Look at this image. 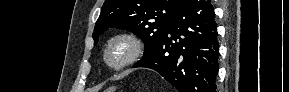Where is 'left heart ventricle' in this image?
Here are the masks:
<instances>
[{
  "label": "left heart ventricle",
  "instance_id": "1",
  "mask_svg": "<svg viewBox=\"0 0 289 92\" xmlns=\"http://www.w3.org/2000/svg\"><path fill=\"white\" fill-rule=\"evenodd\" d=\"M126 51V47L124 44H116L112 51V57L114 60L120 59Z\"/></svg>",
  "mask_w": 289,
  "mask_h": 92
}]
</instances>
